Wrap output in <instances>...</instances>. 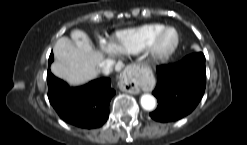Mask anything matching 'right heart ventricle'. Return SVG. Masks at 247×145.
I'll use <instances>...</instances> for the list:
<instances>
[{
  "label": "right heart ventricle",
  "instance_id": "1",
  "mask_svg": "<svg viewBox=\"0 0 247 145\" xmlns=\"http://www.w3.org/2000/svg\"><path fill=\"white\" fill-rule=\"evenodd\" d=\"M164 25L148 23L115 34L112 48L120 54L133 55L145 50L153 35Z\"/></svg>",
  "mask_w": 247,
  "mask_h": 145
}]
</instances>
